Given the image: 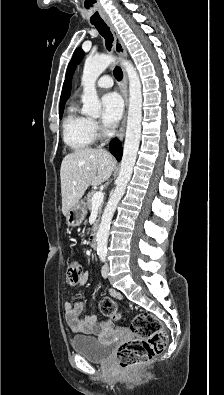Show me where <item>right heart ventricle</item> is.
<instances>
[{"mask_svg":"<svg viewBox=\"0 0 224 395\" xmlns=\"http://www.w3.org/2000/svg\"><path fill=\"white\" fill-rule=\"evenodd\" d=\"M64 142L73 150L80 151L90 147L95 140L92 121L72 104L63 122Z\"/></svg>","mask_w":224,"mask_h":395,"instance_id":"obj_1","label":"right heart ventricle"}]
</instances>
